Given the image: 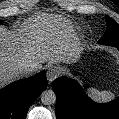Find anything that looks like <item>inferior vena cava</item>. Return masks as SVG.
I'll return each instance as SVG.
<instances>
[{"instance_id": "602c4592", "label": "inferior vena cava", "mask_w": 119, "mask_h": 119, "mask_svg": "<svg viewBox=\"0 0 119 119\" xmlns=\"http://www.w3.org/2000/svg\"><path fill=\"white\" fill-rule=\"evenodd\" d=\"M37 70V67L35 66H25L20 69V72L23 74V76L27 77L34 73Z\"/></svg>"}]
</instances>
